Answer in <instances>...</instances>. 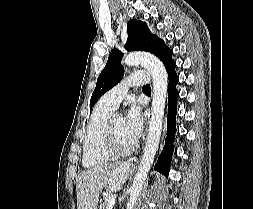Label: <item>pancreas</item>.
<instances>
[{"label": "pancreas", "instance_id": "1", "mask_svg": "<svg viewBox=\"0 0 253 209\" xmlns=\"http://www.w3.org/2000/svg\"><path fill=\"white\" fill-rule=\"evenodd\" d=\"M109 200H110V195H107L103 198L102 209H109Z\"/></svg>", "mask_w": 253, "mask_h": 209}]
</instances>
